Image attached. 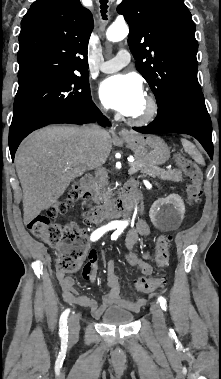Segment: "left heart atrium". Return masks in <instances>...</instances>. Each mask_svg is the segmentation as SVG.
<instances>
[{"instance_id": "obj_1", "label": "left heart atrium", "mask_w": 221, "mask_h": 379, "mask_svg": "<svg viewBox=\"0 0 221 379\" xmlns=\"http://www.w3.org/2000/svg\"><path fill=\"white\" fill-rule=\"evenodd\" d=\"M103 103L123 115L133 116L142 107L145 98L140 80L133 75H115L100 86Z\"/></svg>"}]
</instances>
